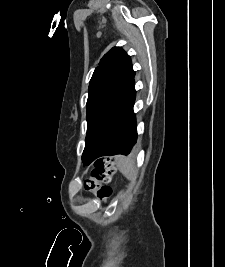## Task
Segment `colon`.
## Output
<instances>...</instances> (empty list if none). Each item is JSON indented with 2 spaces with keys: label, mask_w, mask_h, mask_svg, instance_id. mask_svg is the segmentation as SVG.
Instances as JSON below:
<instances>
[{
  "label": "colon",
  "mask_w": 225,
  "mask_h": 267,
  "mask_svg": "<svg viewBox=\"0 0 225 267\" xmlns=\"http://www.w3.org/2000/svg\"><path fill=\"white\" fill-rule=\"evenodd\" d=\"M115 171V164L111 158H99L95 162L91 177L86 180V189L95 192L99 199L106 201L112 195L110 183Z\"/></svg>",
  "instance_id": "obj_1"
}]
</instances>
